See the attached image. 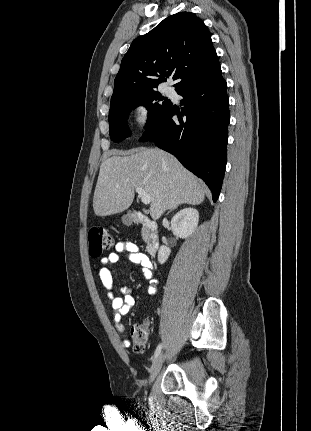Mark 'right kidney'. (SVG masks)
<instances>
[{
  "label": "right kidney",
  "mask_w": 311,
  "mask_h": 431,
  "mask_svg": "<svg viewBox=\"0 0 311 431\" xmlns=\"http://www.w3.org/2000/svg\"><path fill=\"white\" fill-rule=\"evenodd\" d=\"M199 221V212L194 208H184L177 212L171 219V227L174 235L177 237H189L194 233ZM171 253L170 247L167 245H160L158 251L159 263H165Z\"/></svg>",
  "instance_id": "obj_1"
}]
</instances>
